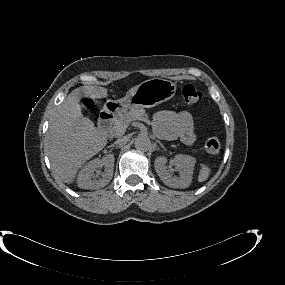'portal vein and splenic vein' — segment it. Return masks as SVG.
<instances>
[{"label":"portal vein and splenic vein","mask_w":285,"mask_h":285,"mask_svg":"<svg viewBox=\"0 0 285 285\" xmlns=\"http://www.w3.org/2000/svg\"><path fill=\"white\" fill-rule=\"evenodd\" d=\"M138 120L144 121L146 123H148V119L147 118H139Z\"/></svg>","instance_id":"1"}]
</instances>
